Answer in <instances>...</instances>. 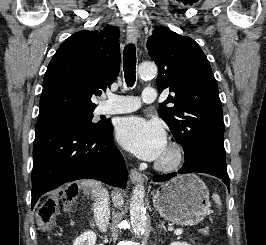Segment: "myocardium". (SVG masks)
Masks as SVG:
<instances>
[{
	"label": "myocardium",
	"instance_id": "obj_1",
	"mask_svg": "<svg viewBox=\"0 0 266 245\" xmlns=\"http://www.w3.org/2000/svg\"><path fill=\"white\" fill-rule=\"evenodd\" d=\"M166 150L171 153V156L159 158L155 163V167L159 171L172 172L181 165L184 157V150L182 146L175 141H171L167 145Z\"/></svg>",
	"mask_w": 266,
	"mask_h": 245
}]
</instances>
